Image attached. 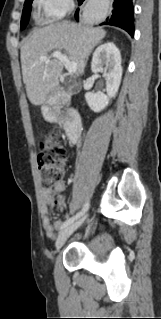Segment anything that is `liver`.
Here are the masks:
<instances>
[{"label": "liver", "mask_w": 161, "mask_h": 319, "mask_svg": "<svg viewBox=\"0 0 161 319\" xmlns=\"http://www.w3.org/2000/svg\"><path fill=\"white\" fill-rule=\"evenodd\" d=\"M102 27H88L68 22L54 23L36 30L21 48L23 82L28 99L42 105L49 94L58 88L63 63L56 58L40 61L41 56L64 50L76 62L79 74L84 72L85 59L105 37Z\"/></svg>", "instance_id": "1"}]
</instances>
